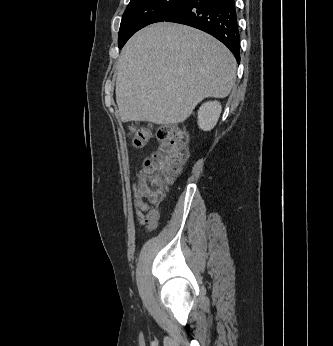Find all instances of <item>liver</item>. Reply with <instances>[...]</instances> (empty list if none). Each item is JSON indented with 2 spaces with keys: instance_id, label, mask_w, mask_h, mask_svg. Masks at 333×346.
Returning a JSON list of instances; mask_svg holds the SVG:
<instances>
[{
  "instance_id": "6515ba94",
  "label": "liver",
  "mask_w": 333,
  "mask_h": 346,
  "mask_svg": "<svg viewBox=\"0 0 333 346\" xmlns=\"http://www.w3.org/2000/svg\"><path fill=\"white\" fill-rule=\"evenodd\" d=\"M235 75L233 54L211 35L180 24H153L121 51L119 116L122 122L181 123L203 99L228 96Z\"/></svg>"
}]
</instances>
